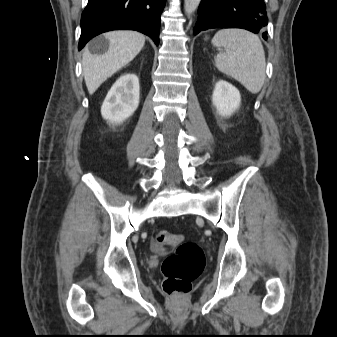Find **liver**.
<instances>
[{"mask_svg":"<svg viewBox=\"0 0 337 337\" xmlns=\"http://www.w3.org/2000/svg\"><path fill=\"white\" fill-rule=\"evenodd\" d=\"M104 37L109 41L107 52L94 55L88 48L83 52V75L91 95L107 78L131 62L145 44L144 35L136 31H110Z\"/></svg>","mask_w":337,"mask_h":337,"instance_id":"1","label":"liver"}]
</instances>
